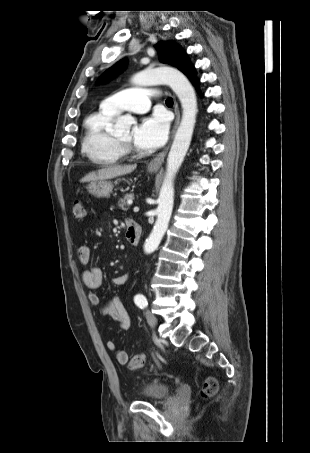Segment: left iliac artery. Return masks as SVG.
Listing matches in <instances>:
<instances>
[{
	"label": "left iliac artery",
	"instance_id": "obj_1",
	"mask_svg": "<svg viewBox=\"0 0 310 453\" xmlns=\"http://www.w3.org/2000/svg\"><path fill=\"white\" fill-rule=\"evenodd\" d=\"M134 302L135 304L140 307L141 309H144L147 307L148 305V302H147V299L144 295L142 294H137L135 297H134Z\"/></svg>",
	"mask_w": 310,
	"mask_h": 453
}]
</instances>
